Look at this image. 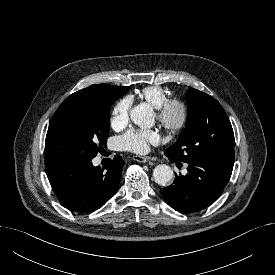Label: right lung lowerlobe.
Segmentation results:
<instances>
[{
  "label": "right lung lower lobe",
  "instance_id": "obj_1",
  "mask_svg": "<svg viewBox=\"0 0 275 275\" xmlns=\"http://www.w3.org/2000/svg\"><path fill=\"white\" fill-rule=\"evenodd\" d=\"M125 162L116 155L104 172L94 167L92 159L72 157L45 160L46 174L59 200L74 212H93L101 208L115 193Z\"/></svg>",
  "mask_w": 275,
  "mask_h": 275
}]
</instances>
